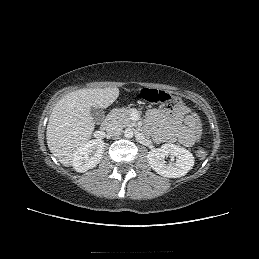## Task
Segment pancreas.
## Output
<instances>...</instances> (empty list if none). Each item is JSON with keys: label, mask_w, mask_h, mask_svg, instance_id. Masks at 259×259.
<instances>
[{"label": "pancreas", "mask_w": 259, "mask_h": 259, "mask_svg": "<svg viewBox=\"0 0 259 259\" xmlns=\"http://www.w3.org/2000/svg\"><path fill=\"white\" fill-rule=\"evenodd\" d=\"M112 122H115L122 127L135 126V122L130 118V111L126 108L113 109L109 115Z\"/></svg>", "instance_id": "obj_1"}]
</instances>
